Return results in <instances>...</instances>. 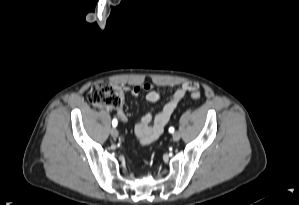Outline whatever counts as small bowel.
I'll return each instance as SVG.
<instances>
[{
  "instance_id": "obj_1",
  "label": "small bowel",
  "mask_w": 299,
  "mask_h": 205,
  "mask_svg": "<svg viewBox=\"0 0 299 205\" xmlns=\"http://www.w3.org/2000/svg\"><path fill=\"white\" fill-rule=\"evenodd\" d=\"M198 85L194 82H184L179 88L166 100L162 109L157 114L146 113L135 124V134L141 144H150L160 137L164 132L171 115L177 108L184 96L197 90ZM125 90L131 95H136L141 91L145 92V100L150 103H156L161 100V95L156 91L153 85L144 83L133 88L125 87ZM117 115L122 122L127 121V116L123 108L117 109Z\"/></svg>"
}]
</instances>
